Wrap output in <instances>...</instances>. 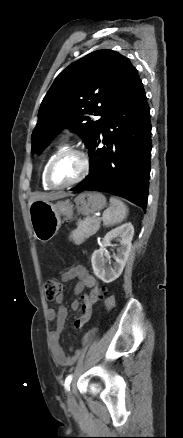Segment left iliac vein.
Returning a JSON list of instances; mask_svg holds the SVG:
<instances>
[{
    "label": "left iliac vein",
    "mask_w": 183,
    "mask_h": 438,
    "mask_svg": "<svg viewBox=\"0 0 183 438\" xmlns=\"http://www.w3.org/2000/svg\"><path fill=\"white\" fill-rule=\"evenodd\" d=\"M75 404H76V401H75L73 392H72V390H69V393H68V406L69 407H73V406H75Z\"/></svg>",
    "instance_id": "left-iliac-vein-1"
}]
</instances>
